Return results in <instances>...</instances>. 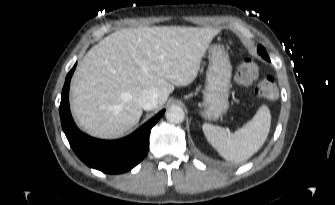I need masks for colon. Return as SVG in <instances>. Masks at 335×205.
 Returning a JSON list of instances; mask_svg holds the SVG:
<instances>
[{"label":"colon","mask_w":335,"mask_h":205,"mask_svg":"<svg viewBox=\"0 0 335 205\" xmlns=\"http://www.w3.org/2000/svg\"><path fill=\"white\" fill-rule=\"evenodd\" d=\"M258 77V65L253 59H245L238 66L235 79L239 84L251 85ZM254 92L260 98L272 99L277 95V87L271 77H265L255 84Z\"/></svg>","instance_id":"obj_1"}]
</instances>
